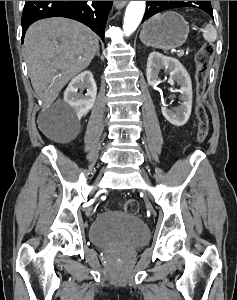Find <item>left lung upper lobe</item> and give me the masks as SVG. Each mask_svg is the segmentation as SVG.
Wrapping results in <instances>:
<instances>
[{
	"label": "left lung upper lobe",
	"instance_id": "1",
	"mask_svg": "<svg viewBox=\"0 0 237 300\" xmlns=\"http://www.w3.org/2000/svg\"><path fill=\"white\" fill-rule=\"evenodd\" d=\"M180 7H194L205 12L212 9L210 1H147L143 21L158 12Z\"/></svg>",
	"mask_w": 237,
	"mask_h": 300
}]
</instances>
